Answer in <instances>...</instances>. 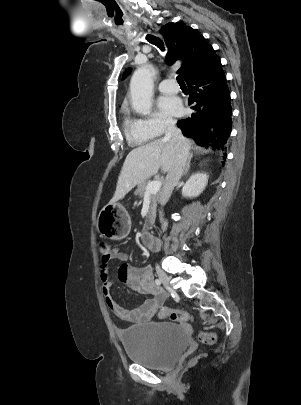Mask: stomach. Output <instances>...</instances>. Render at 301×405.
Masks as SVG:
<instances>
[{
    "instance_id": "0dacf381",
    "label": "stomach",
    "mask_w": 301,
    "mask_h": 405,
    "mask_svg": "<svg viewBox=\"0 0 301 405\" xmlns=\"http://www.w3.org/2000/svg\"><path fill=\"white\" fill-rule=\"evenodd\" d=\"M99 233L108 239L122 240L131 229V219L127 210L120 204H107L97 218Z\"/></svg>"
}]
</instances>
